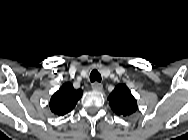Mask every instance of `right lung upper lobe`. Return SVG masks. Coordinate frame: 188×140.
Wrapping results in <instances>:
<instances>
[{
  "mask_svg": "<svg viewBox=\"0 0 188 140\" xmlns=\"http://www.w3.org/2000/svg\"><path fill=\"white\" fill-rule=\"evenodd\" d=\"M82 94L81 89L76 90L71 83H64L51 97L49 104L51 111L58 116L65 115L75 107Z\"/></svg>",
  "mask_w": 188,
  "mask_h": 140,
  "instance_id": "1",
  "label": "right lung upper lobe"
}]
</instances>
